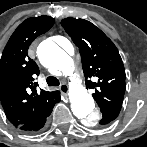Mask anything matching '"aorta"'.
I'll return each instance as SVG.
<instances>
[{
    "instance_id": "aorta-1",
    "label": "aorta",
    "mask_w": 147,
    "mask_h": 147,
    "mask_svg": "<svg viewBox=\"0 0 147 147\" xmlns=\"http://www.w3.org/2000/svg\"><path fill=\"white\" fill-rule=\"evenodd\" d=\"M63 43L73 50L69 40L63 38ZM38 57L41 63L52 71H60L65 76L73 75L75 67L72 58L53 41L46 40L40 44ZM69 99L73 114L88 126L95 125L101 118L95 109L92 96L79 80H72Z\"/></svg>"
}]
</instances>
